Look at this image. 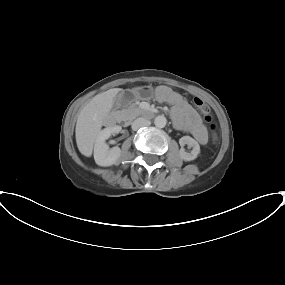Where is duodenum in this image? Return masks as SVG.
<instances>
[{
    "label": "duodenum",
    "instance_id": "410a0bca",
    "mask_svg": "<svg viewBox=\"0 0 285 285\" xmlns=\"http://www.w3.org/2000/svg\"><path fill=\"white\" fill-rule=\"evenodd\" d=\"M140 115L146 117V118H150L153 117L156 114V110L153 108H143L140 109L139 111ZM120 122H122L121 119H118Z\"/></svg>",
    "mask_w": 285,
    "mask_h": 285
}]
</instances>
